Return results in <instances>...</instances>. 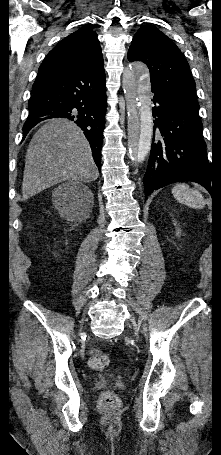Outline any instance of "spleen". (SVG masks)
Segmentation results:
<instances>
[{
    "mask_svg": "<svg viewBox=\"0 0 221 455\" xmlns=\"http://www.w3.org/2000/svg\"><path fill=\"white\" fill-rule=\"evenodd\" d=\"M172 194L178 202L191 208L202 209L205 206L202 194L196 189H191L187 184H176L172 188Z\"/></svg>",
    "mask_w": 221,
    "mask_h": 455,
    "instance_id": "1",
    "label": "spleen"
}]
</instances>
